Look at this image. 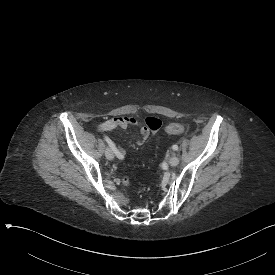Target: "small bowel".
I'll list each match as a JSON object with an SVG mask.
<instances>
[{
  "label": "small bowel",
  "instance_id": "small-bowel-1",
  "mask_svg": "<svg viewBox=\"0 0 275 275\" xmlns=\"http://www.w3.org/2000/svg\"><path fill=\"white\" fill-rule=\"evenodd\" d=\"M145 125L148 127H145L141 134H142V139L137 142L138 145H141L143 141L149 137L152 136L154 132H157L158 130L161 129V122L155 120L153 117H146L145 118ZM134 123V120L132 118H125L124 120L121 117H118L117 119H114L113 121H109L108 123H105L103 125V128L105 130H108L109 128H117V129H125L126 125H132Z\"/></svg>",
  "mask_w": 275,
  "mask_h": 275
}]
</instances>
